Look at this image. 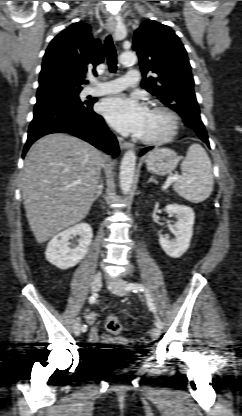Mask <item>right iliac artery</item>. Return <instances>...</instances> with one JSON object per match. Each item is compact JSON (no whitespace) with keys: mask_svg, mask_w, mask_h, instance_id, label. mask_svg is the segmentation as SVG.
<instances>
[{"mask_svg":"<svg viewBox=\"0 0 242 416\" xmlns=\"http://www.w3.org/2000/svg\"><path fill=\"white\" fill-rule=\"evenodd\" d=\"M95 301H96V297H95V295H92V296H90V297H89V303H90V304H94V303H95ZM81 331L86 332V331H87V325H83V326L81 327Z\"/></svg>","mask_w":242,"mask_h":416,"instance_id":"obj_1","label":"right iliac artery"}]
</instances>
